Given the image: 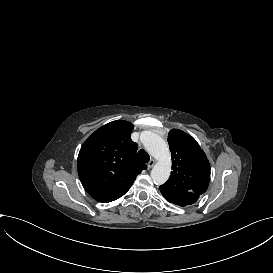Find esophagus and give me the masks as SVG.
Wrapping results in <instances>:
<instances>
[{
  "label": "esophagus",
  "mask_w": 273,
  "mask_h": 273,
  "mask_svg": "<svg viewBox=\"0 0 273 273\" xmlns=\"http://www.w3.org/2000/svg\"><path fill=\"white\" fill-rule=\"evenodd\" d=\"M156 161L154 159H151L148 163V168H152L155 165Z\"/></svg>",
  "instance_id": "34e87169"
}]
</instances>
